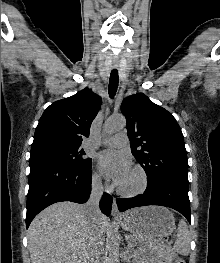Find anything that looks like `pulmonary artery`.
<instances>
[{
    "mask_svg": "<svg viewBox=\"0 0 220 263\" xmlns=\"http://www.w3.org/2000/svg\"><path fill=\"white\" fill-rule=\"evenodd\" d=\"M128 143V136L126 133H118L114 136L108 137L102 141V144L107 146L120 147L125 146Z\"/></svg>",
    "mask_w": 220,
    "mask_h": 263,
    "instance_id": "obj_1",
    "label": "pulmonary artery"
}]
</instances>
